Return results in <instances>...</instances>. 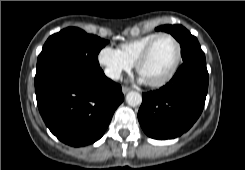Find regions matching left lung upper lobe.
Masks as SVG:
<instances>
[{"label": "left lung upper lobe", "instance_id": "obj_1", "mask_svg": "<svg viewBox=\"0 0 245 170\" xmlns=\"http://www.w3.org/2000/svg\"><path fill=\"white\" fill-rule=\"evenodd\" d=\"M158 31H165L174 36L180 42L181 56L183 62H194L206 64L205 54L201 50L196 37L181 25H164L156 28Z\"/></svg>", "mask_w": 245, "mask_h": 170}]
</instances>
